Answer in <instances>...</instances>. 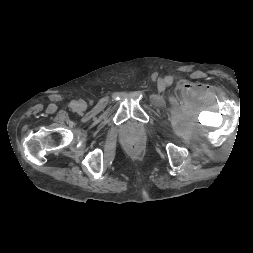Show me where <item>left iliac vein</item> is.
<instances>
[{
    "instance_id": "1",
    "label": "left iliac vein",
    "mask_w": 253,
    "mask_h": 253,
    "mask_svg": "<svg viewBox=\"0 0 253 253\" xmlns=\"http://www.w3.org/2000/svg\"><path fill=\"white\" fill-rule=\"evenodd\" d=\"M158 88H159V90H163L164 89V83L162 81L159 83Z\"/></svg>"
}]
</instances>
